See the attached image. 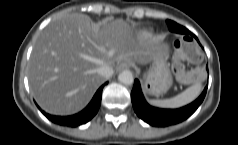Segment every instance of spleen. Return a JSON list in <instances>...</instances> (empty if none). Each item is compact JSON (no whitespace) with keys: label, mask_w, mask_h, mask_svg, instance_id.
<instances>
[{"label":"spleen","mask_w":238,"mask_h":145,"mask_svg":"<svg viewBox=\"0 0 238 145\" xmlns=\"http://www.w3.org/2000/svg\"><path fill=\"white\" fill-rule=\"evenodd\" d=\"M202 91V84L197 81L177 96L164 100H149V103L164 108H178L195 100Z\"/></svg>","instance_id":"obj_1"}]
</instances>
